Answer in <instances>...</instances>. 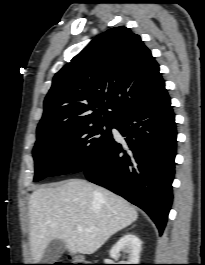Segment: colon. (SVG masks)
Listing matches in <instances>:
<instances>
[{
  "instance_id": "5ec220e1",
  "label": "colon",
  "mask_w": 205,
  "mask_h": 265,
  "mask_svg": "<svg viewBox=\"0 0 205 265\" xmlns=\"http://www.w3.org/2000/svg\"><path fill=\"white\" fill-rule=\"evenodd\" d=\"M71 264H61L58 262L57 264H52V265H91V264H85L86 259L83 256H75L70 262Z\"/></svg>"
}]
</instances>
